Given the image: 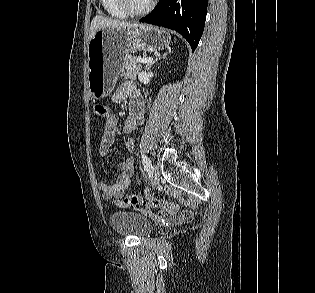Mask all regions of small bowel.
<instances>
[{
  "mask_svg": "<svg viewBox=\"0 0 315 293\" xmlns=\"http://www.w3.org/2000/svg\"><path fill=\"white\" fill-rule=\"evenodd\" d=\"M127 98H130V112L123 125V133L128 134L143 123L144 107L142 99L140 98L136 87L132 82L122 83L114 92L112 99L119 103ZM118 124V116L110 113L106 118L101 130L99 142V155L105 157L115 138L116 127ZM136 147V140L129 138L126 142V149L132 153ZM120 174L117 180L112 184L104 182L98 183V189L102 193L104 200H113L123 196L125 190L130 186L134 178V159L132 156H127L119 164ZM161 218H168L170 215L168 211H161L159 213Z\"/></svg>",
  "mask_w": 315,
  "mask_h": 293,
  "instance_id": "1",
  "label": "small bowel"
}]
</instances>
